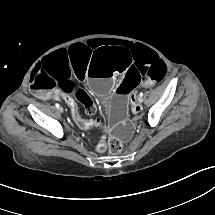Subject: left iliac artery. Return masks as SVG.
<instances>
[{"instance_id": "44dca946", "label": "left iliac artery", "mask_w": 215, "mask_h": 215, "mask_svg": "<svg viewBox=\"0 0 215 215\" xmlns=\"http://www.w3.org/2000/svg\"><path fill=\"white\" fill-rule=\"evenodd\" d=\"M139 99H141V101H143V93H140Z\"/></svg>"}]
</instances>
